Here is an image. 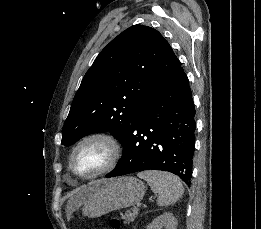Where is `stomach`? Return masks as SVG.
I'll list each match as a JSON object with an SVG mask.
<instances>
[{
  "label": "stomach",
  "mask_w": 261,
  "mask_h": 229,
  "mask_svg": "<svg viewBox=\"0 0 261 229\" xmlns=\"http://www.w3.org/2000/svg\"><path fill=\"white\" fill-rule=\"evenodd\" d=\"M85 187L88 189V197L83 203L82 213L89 219L137 205L146 191L144 183L135 177L98 179L87 183Z\"/></svg>",
  "instance_id": "0dacf381"
}]
</instances>
